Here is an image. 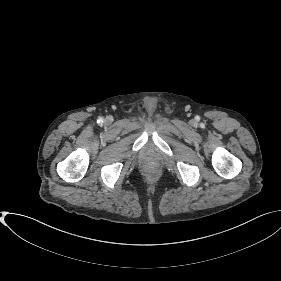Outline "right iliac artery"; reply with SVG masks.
Wrapping results in <instances>:
<instances>
[{"mask_svg":"<svg viewBox=\"0 0 281 281\" xmlns=\"http://www.w3.org/2000/svg\"><path fill=\"white\" fill-rule=\"evenodd\" d=\"M97 122H98V123H102V122H103V118L100 117V118L97 120Z\"/></svg>","mask_w":281,"mask_h":281,"instance_id":"right-iliac-artery-1","label":"right iliac artery"}]
</instances>
